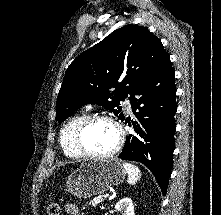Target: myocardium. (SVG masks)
I'll return each instance as SVG.
<instances>
[{
	"label": "myocardium",
	"instance_id": "1",
	"mask_svg": "<svg viewBox=\"0 0 221 215\" xmlns=\"http://www.w3.org/2000/svg\"><path fill=\"white\" fill-rule=\"evenodd\" d=\"M97 121H107L111 123L116 130V134H117L116 144L111 150L105 153H93L87 150V148L84 145V135L86 131L93 123ZM75 142H76V146L78 150L84 156L97 158V159L108 158V157L115 155L122 148L123 143H124V132H123L122 126L115 118L109 115H105V114L92 115V116H89L78 128L76 132V136H75Z\"/></svg>",
	"mask_w": 221,
	"mask_h": 215
}]
</instances>
